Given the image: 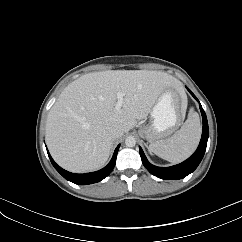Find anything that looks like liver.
I'll list each match as a JSON object with an SVG mask.
<instances>
[{
  "label": "liver",
  "instance_id": "1",
  "mask_svg": "<svg viewBox=\"0 0 242 242\" xmlns=\"http://www.w3.org/2000/svg\"><path fill=\"white\" fill-rule=\"evenodd\" d=\"M168 88L183 94L181 83L161 71L107 70L85 74L62 91L49 111L46 142L64 169L83 173L103 166L114 139L110 129H133ZM122 92V109L116 94Z\"/></svg>",
  "mask_w": 242,
  "mask_h": 242
}]
</instances>
